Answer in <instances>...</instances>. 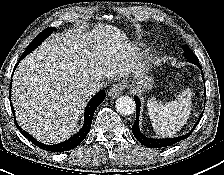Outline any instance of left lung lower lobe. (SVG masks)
Instances as JSON below:
<instances>
[{
  "label": "left lung lower lobe",
  "instance_id": "obj_1",
  "mask_svg": "<svg viewBox=\"0 0 224 175\" xmlns=\"http://www.w3.org/2000/svg\"><path fill=\"white\" fill-rule=\"evenodd\" d=\"M193 64L197 65L201 69V65L199 64V62L193 63ZM201 71H202V69H201ZM202 78L204 80L203 72H202ZM134 100H135L136 106H137V113H136V120H135V122L132 126V133L134 134L135 138L141 144H143L144 146H146L148 148H161V147L171 146V145H173V144H175V143H177V142H179L183 139H186L190 135V133L192 132L191 131L190 133H188L184 136H181V137H177V138L155 139V138L146 137L139 130V115H138V112H139V108H140V100H139L138 97H135ZM202 114L200 115L199 120L202 117Z\"/></svg>",
  "mask_w": 224,
  "mask_h": 175
}]
</instances>
